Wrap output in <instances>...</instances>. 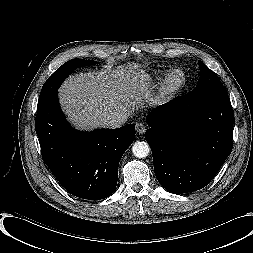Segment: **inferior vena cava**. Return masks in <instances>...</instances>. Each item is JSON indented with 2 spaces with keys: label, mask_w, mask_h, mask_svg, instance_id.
I'll return each instance as SVG.
<instances>
[{
  "label": "inferior vena cava",
  "mask_w": 253,
  "mask_h": 253,
  "mask_svg": "<svg viewBox=\"0 0 253 253\" xmlns=\"http://www.w3.org/2000/svg\"><path fill=\"white\" fill-rule=\"evenodd\" d=\"M127 121L126 116H113L106 121V126L109 128H119Z\"/></svg>",
  "instance_id": "1"
}]
</instances>
